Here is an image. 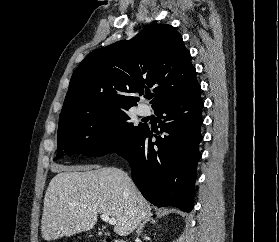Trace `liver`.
Listing matches in <instances>:
<instances>
[{
  "instance_id": "6515ba94",
  "label": "liver",
  "mask_w": 279,
  "mask_h": 242,
  "mask_svg": "<svg viewBox=\"0 0 279 242\" xmlns=\"http://www.w3.org/2000/svg\"><path fill=\"white\" fill-rule=\"evenodd\" d=\"M99 213L115 218L114 232L125 237L151 213V206L121 169L61 166L44 197L42 238L89 231Z\"/></svg>"
}]
</instances>
